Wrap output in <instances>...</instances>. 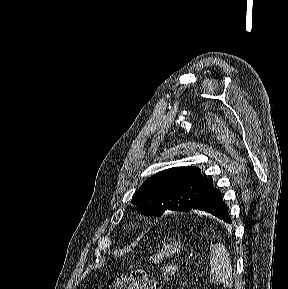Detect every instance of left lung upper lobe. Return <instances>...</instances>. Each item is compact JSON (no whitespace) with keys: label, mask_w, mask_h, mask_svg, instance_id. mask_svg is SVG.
<instances>
[{"label":"left lung upper lobe","mask_w":288,"mask_h":289,"mask_svg":"<svg viewBox=\"0 0 288 289\" xmlns=\"http://www.w3.org/2000/svg\"><path fill=\"white\" fill-rule=\"evenodd\" d=\"M213 187V181L197 167H174L148 178L131 203L143 215L161 216L166 210L188 212Z\"/></svg>","instance_id":"obj_1"}]
</instances>
